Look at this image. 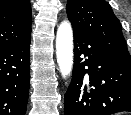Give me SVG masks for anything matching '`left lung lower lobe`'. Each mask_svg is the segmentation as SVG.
<instances>
[{"label":"left lung lower lobe","mask_w":131,"mask_h":115,"mask_svg":"<svg viewBox=\"0 0 131 115\" xmlns=\"http://www.w3.org/2000/svg\"><path fill=\"white\" fill-rule=\"evenodd\" d=\"M73 34L74 67L64 114L131 112V67L109 55L92 37L75 29Z\"/></svg>","instance_id":"0a47b994"}]
</instances>
